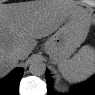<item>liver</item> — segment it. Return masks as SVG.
Wrapping results in <instances>:
<instances>
[{
	"mask_svg": "<svg viewBox=\"0 0 95 95\" xmlns=\"http://www.w3.org/2000/svg\"><path fill=\"white\" fill-rule=\"evenodd\" d=\"M79 7L63 8L52 2L34 1L5 4L0 7V66L6 73L25 60L35 48L36 39L55 32L69 17L80 16ZM84 25L89 26L90 18L83 14ZM21 49L18 59L13 51Z\"/></svg>",
	"mask_w": 95,
	"mask_h": 95,
	"instance_id": "1",
	"label": "liver"
}]
</instances>
